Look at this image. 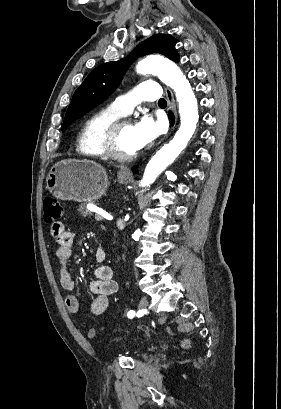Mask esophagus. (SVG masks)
Instances as JSON below:
<instances>
[{
    "instance_id": "obj_1",
    "label": "esophagus",
    "mask_w": 281,
    "mask_h": 409,
    "mask_svg": "<svg viewBox=\"0 0 281 409\" xmlns=\"http://www.w3.org/2000/svg\"><path fill=\"white\" fill-rule=\"evenodd\" d=\"M165 93H166V96H167L169 109L172 110V112L174 113V115L176 117V115H177L176 114V104H175L173 93L171 92V90L168 87L165 88ZM173 129H174V127L172 128V130Z\"/></svg>"
}]
</instances>
